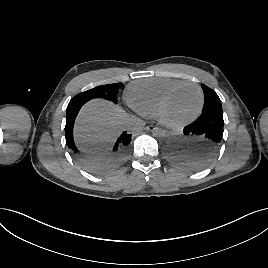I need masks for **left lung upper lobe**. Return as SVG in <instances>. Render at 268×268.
<instances>
[{"instance_id": "5c2ea615", "label": "left lung upper lobe", "mask_w": 268, "mask_h": 268, "mask_svg": "<svg viewBox=\"0 0 268 268\" xmlns=\"http://www.w3.org/2000/svg\"><path fill=\"white\" fill-rule=\"evenodd\" d=\"M202 89L204 91V96H205V104L202 110V114L206 112H223L222 111V105H221V100L218 97V95L207 87L206 85H202Z\"/></svg>"}]
</instances>
